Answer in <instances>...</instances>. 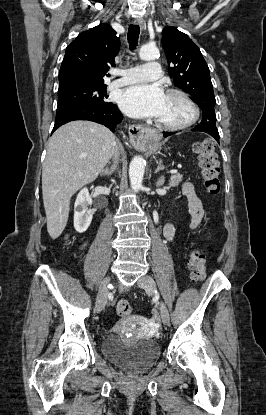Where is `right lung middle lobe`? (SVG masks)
Instances as JSON below:
<instances>
[{"label": "right lung middle lobe", "instance_id": "right-lung-middle-lobe-1", "mask_svg": "<svg viewBox=\"0 0 266 415\" xmlns=\"http://www.w3.org/2000/svg\"><path fill=\"white\" fill-rule=\"evenodd\" d=\"M107 98L106 85L86 87L58 93V105L66 103L111 105L112 103L108 102Z\"/></svg>", "mask_w": 266, "mask_h": 415}]
</instances>
